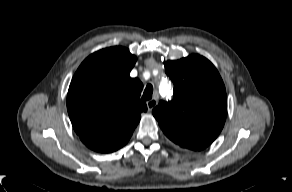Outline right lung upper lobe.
<instances>
[{"mask_svg":"<svg viewBox=\"0 0 292 192\" xmlns=\"http://www.w3.org/2000/svg\"><path fill=\"white\" fill-rule=\"evenodd\" d=\"M135 62L124 47L105 48L86 58L73 76L67 110L88 148L110 153L123 147L147 110L142 83L130 77Z\"/></svg>","mask_w":292,"mask_h":192,"instance_id":"right-lung-upper-lobe-1","label":"right lung upper lobe"}]
</instances>
